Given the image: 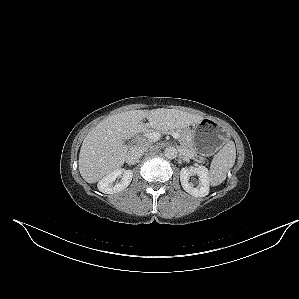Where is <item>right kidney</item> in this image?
Returning <instances> with one entry per match:
<instances>
[{
  "instance_id": "1",
  "label": "right kidney",
  "mask_w": 299,
  "mask_h": 299,
  "mask_svg": "<svg viewBox=\"0 0 299 299\" xmlns=\"http://www.w3.org/2000/svg\"><path fill=\"white\" fill-rule=\"evenodd\" d=\"M133 177L132 170L117 169L106 175L98 182V189L105 194H114L124 190L130 184ZM116 178H121L119 183L114 184Z\"/></svg>"
}]
</instances>
